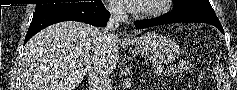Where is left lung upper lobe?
<instances>
[{
  "label": "left lung upper lobe",
  "mask_w": 237,
  "mask_h": 90,
  "mask_svg": "<svg viewBox=\"0 0 237 90\" xmlns=\"http://www.w3.org/2000/svg\"><path fill=\"white\" fill-rule=\"evenodd\" d=\"M175 12H188L217 19L208 0H173Z\"/></svg>",
  "instance_id": "obj_1"
}]
</instances>
